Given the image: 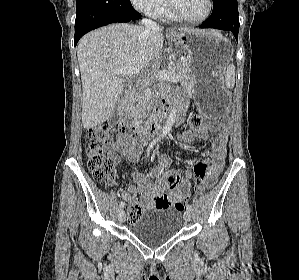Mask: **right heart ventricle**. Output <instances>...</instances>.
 <instances>
[{"label": "right heart ventricle", "instance_id": "right-heart-ventricle-1", "mask_svg": "<svg viewBox=\"0 0 299 280\" xmlns=\"http://www.w3.org/2000/svg\"><path fill=\"white\" fill-rule=\"evenodd\" d=\"M154 17L166 19V20H175L176 18L169 11L165 0L162 1L159 8L154 12Z\"/></svg>", "mask_w": 299, "mask_h": 280}]
</instances>
